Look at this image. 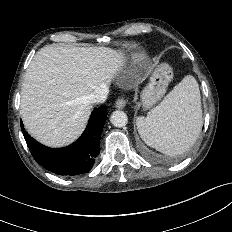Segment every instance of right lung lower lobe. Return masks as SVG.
Here are the masks:
<instances>
[{"mask_svg":"<svg viewBox=\"0 0 232 232\" xmlns=\"http://www.w3.org/2000/svg\"><path fill=\"white\" fill-rule=\"evenodd\" d=\"M107 119V109H95L82 136L73 144L58 149L48 148L22 132L33 158L45 169L58 175H78L91 170L100 153V137Z\"/></svg>","mask_w":232,"mask_h":232,"instance_id":"obj_1","label":"right lung lower lobe"}]
</instances>
